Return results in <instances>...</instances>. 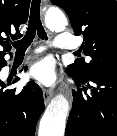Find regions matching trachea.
Masks as SVG:
<instances>
[{"label": "trachea", "mask_w": 117, "mask_h": 136, "mask_svg": "<svg viewBox=\"0 0 117 136\" xmlns=\"http://www.w3.org/2000/svg\"><path fill=\"white\" fill-rule=\"evenodd\" d=\"M40 3L41 0H32L26 34L21 40L12 42L13 47L16 48L17 51H25L35 38L36 32L39 38L43 40L47 39L46 32L40 20Z\"/></svg>", "instance_id": "1"}]
</instances>
